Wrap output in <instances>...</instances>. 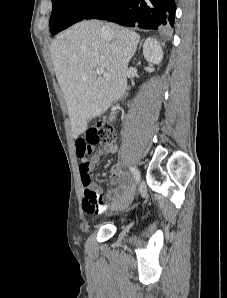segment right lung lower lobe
<instances>
[{
  "mask_svg": "<svg viewBox=\"0 0 227 298\" xmlns=\"http://www.w3.org/2000/svg\"><path fill=\"white\" fill-rule=\"evenodd\" d=\"M175 0H106L85 19L108 20L123 26L164 29L174 25Z\"/></svg>",
  "mask_w": 227,
  "mask_h": 298,
  "instance_id": "1",
  "label": "right lung lower lobe"
}]
</instances>
